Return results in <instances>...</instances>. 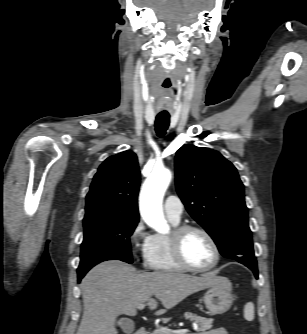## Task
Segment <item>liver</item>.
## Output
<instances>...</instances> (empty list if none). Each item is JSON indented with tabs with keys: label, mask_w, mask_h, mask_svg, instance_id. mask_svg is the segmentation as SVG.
Wrapping results in <instances>:
<instances>
[{
	"label": "liver",
	"mask_w": 307,
	"mask_h": 334,
	"mask_svg": "<svg viewBox=\"0 0 307 334\" xmlns=\"http://www.w3.org/2000/svg\"><path fill=\"white\" fill-rule=\"evenodd\" d=\"M217 283L215 272L198 277L174 272L139 273L118 260L102 262L81 282L84 312L76 334H118L117 317L135 316L139 304L147 303L150 310H156L158 299L164 309L156 315H161L189 295Z\"/></svg>",
	"instance_id": "1"
}]
</instances>
